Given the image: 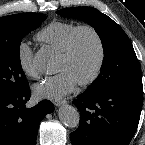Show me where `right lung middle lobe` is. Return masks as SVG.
Listing matches in <instances>:
<instances>
[{"mask_svg": "<svg viewBox=\"0 0 145 145\" xmlns=\"http://www.w3.org/2000/svg\"><path fill=\"white\" fill-rule=\"evenodd\" d=\"M45 19L41 13H20L0 18V94H16L28 87L21 67L20 43Z\"/></svg>", "mask_w": 145, "mask_h": 145, "instance_id": "1", "label": "right lung middle lobe"}]
</instances>
